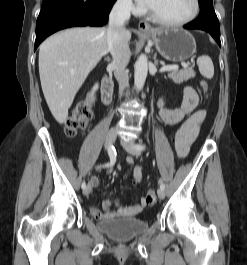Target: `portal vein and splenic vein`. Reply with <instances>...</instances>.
Here are the masks:
<instances>
[{
	"mask_svg": "<svg viewBox=\"0 0 247 265\" xmlns=\"http://www.w3.org/2000/svg\"><path fill=\"white\" fill-rule=\"evenodd\" d=\"M184 66H187L184 64ZM179 68L178 65H168V66H163L161 67L160 69V72H163V71H170V70H177Z\"/></svg>",
	"mask_w": 247,
	"mask_h": 265,
	"instance_id": "1",
	"label": "portal vein and splenic vein"
}]
</instances>
